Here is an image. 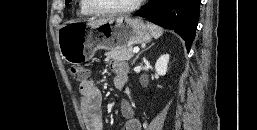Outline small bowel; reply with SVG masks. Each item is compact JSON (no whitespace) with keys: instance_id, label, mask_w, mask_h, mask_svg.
Wrapping results in <instances>:
<instances>
[{"instance_id":"obj_1","label":"small bowel","mask_w":257,"mask_h":130,"mask_svg":"<svg viewBox=\"0 0 257 130\" xmlns=\"http://www.w3.org/2000/svg\"><path fill=\"white\" fill-rule=\"evenodd\" d=\"M111 68L115 75L114 85L118 90H121L127 81L128 64L116 61L111 64ZM79 91L82 115L87 130H103L102 94L100 90L92 81L86 79L80 82ZM120 111L125 119L124 130H141V121L135 115L128 101H121Z\"/></svg>"}]
</instances>
